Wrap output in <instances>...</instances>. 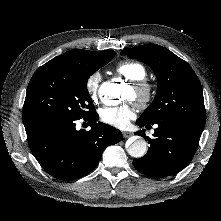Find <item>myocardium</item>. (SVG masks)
<instances>
[{"label":"myocardium","mask_w":221,"mask_h":221,"mask_svg":"<svg viewBox=\"0 0 221 221\" xmlns=\"http://www.w3.org/2000/svg\"><path fill=\"white\" fill-rule=\"evenodd\" d=\"M131 87L134 90V99L141 107H146L153 99V85L144 79L131 82Z\"/></svg>","instance_id":"obj_1"}]
</instances>
